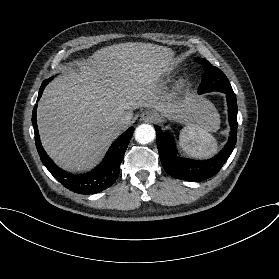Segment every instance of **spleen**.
<instances>
[{
    "label": "spleen",
    "instance_id": "obj_1",
    "mask_svg": "<svg viewBox=\"0 0 279 279\" xmlns=\"http://www.w3.org/2000/svg\"><path fill=\"white\" fill-rule=\"evenodd\" d=\"M206 103L202 118L190 124L181 133V146L192 156H211L217 150V144L208 132L219 127V116L212 104Z\"/></svg>",
    "mask_w": 279,
    "mask_h": 279
}]
</instances>
